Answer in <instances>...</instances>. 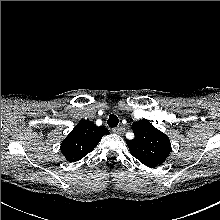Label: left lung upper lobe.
<instances>
[{"mask_svg":"<svg viewBox=\"0 0 220 220\" xmlns=\"http://www.w3.org/2000/svg\"><path fill=\"white\" fill-rule=\"evenodd\" d=\"M132 130L134 139L126 141L130 153L144 165L152 168L160 166L171 151V143L166 134L146 119L134 122Z\"/></svg>","mask_w":220,"mask_h":220,"instance_id":"left-lung-upper-lobe-1","label":"left lung upper lobe"}]
</instances>
